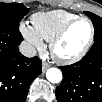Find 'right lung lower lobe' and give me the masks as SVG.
Instances as JSON below:
<instances>
[{"mask_svg": "<svg viewBox=\"0 0 102 102\" xmlns=\"http://www.w3.org/2000/svg\"><path fill=\"white\" fill-rule=\"evenodd\" d=\"M23 40L19 29H0V101L24 102L31 82L41 74L42 61L18 51Z\"/></svg>", "mask_w": 102, "mask_h": 102, "instance_id": "1", "label": "right lung lower lobe"}]
</instances>
